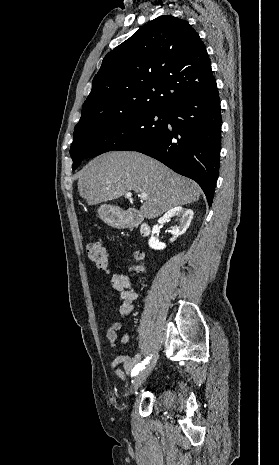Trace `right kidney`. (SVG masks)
<instances>
[{"instance_id":"1","label":"right kidney","mask_w":279,"mask_h":465,"mask_svg":"<svg viewBox=\"0 0 279 465\" xmlns=\"http://www.w3.org/2000/svg\"><path fill=\"white\" fill-rule=\"evenodd\" d=\"M177 216L180 217V224L178 226H174L170 233L172 237L170 241L173 242L178 236L184 234L186 230L189 228L191 220L193 218V211L191 209L183 208L181 206L174 207L167 211L159 220L158 224L154 225L152 228V235L148 241L149 247L155 250H163L166 245L165 243L159 242L155 237V234L160 232V225L166 223L170 220V218Z\"/></svg>"}]
</instances>
